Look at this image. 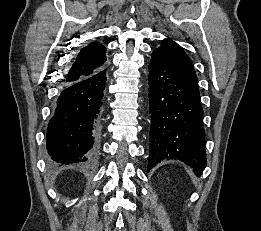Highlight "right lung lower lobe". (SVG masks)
<instances>
[{
  "label": "right lung lower lobe",
  "mask_w": 261,
  "mask_h": 231,
  "mask_svg": "<svg viewBox=\"0 0 261 231\" xmlns=\"http://www.w3.org/2000/svg\"><path fill=\"white\" fill-rule=\"evenodd\" d=\"M106 80L104 66L90 76L67 84L59 94L46 135L51 164L85 162L95 156Z\"/></svg>",
  "instance_id": "1"
}]
</instances>
